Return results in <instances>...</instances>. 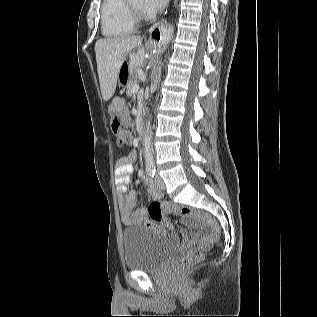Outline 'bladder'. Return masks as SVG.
Wrapping results in <instances>:
<instances>
[{"label":"bladder","mask_w":317,"mask_h":317,"mask_svg":"<svg viewBox=\"0 0 317 317\" xmlns=\"http://www.w3.org/2000/svg\"><path fill=\"white\" fill-rule=\"evenodd\" d=\"M124 262L128 270L152 271L163 267L178 251L175 240L139 227L124 231Z\"/></svg>","instance_id":"bladder-1"}]
</instances>
